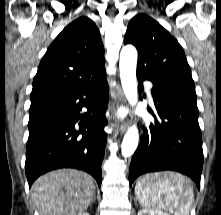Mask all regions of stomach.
<instances>
[{
  "mask_svg": "<svg viewBox=\"0 0 221 215\" xmlns=\"http://www.w3.org/2000/svg\"><path fill=\"white\" fill-rule=\"evenodd\" d=\"M166 173H157L145 176L149 181L153 178V182L160 180Z\"/></svg>",
  "mask_w": 221,
  "mask_h": 215,
  "instance_id": "obj_1",
  "label": "stomach"
}]
</instances>
